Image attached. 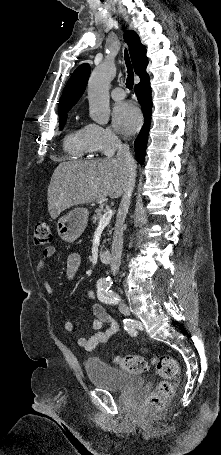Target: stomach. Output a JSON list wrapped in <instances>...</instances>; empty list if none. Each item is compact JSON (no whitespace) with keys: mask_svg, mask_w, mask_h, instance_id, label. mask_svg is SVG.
I'll list each match as a JSON object with an SVG mask.
<instances>
[{"mask_svg":"<svg viewBox=\"0 0 221 455\" xmlns=\"http://www.w3.org/2000/svg\"><path fill=\"white\" fill-rule=\"evenodd\" d=\"M88 215L86 208L77 207L60 217L56 224L59 237L68 243L76 241L86 228Z\"/></svg>","mask_w":221,"mask_h":455,"instance_id":"stomach-1","label":"stomach"}]
</instances>
